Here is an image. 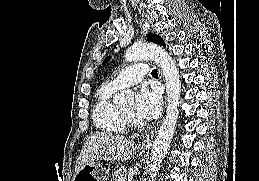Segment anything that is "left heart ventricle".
Returning <instances> with one entry per match:
<instances>
[{
  "instance_id": "left-heart-ventricle-1",
  "label": "left heart ventricle",
  "mask_w": 259,
  "mask_h": 181,
  "mask_svg": "<svg viewBox=\"0 0 259 181\" xmlns=\"http://www.w3.org/2000/svg\"><path fill=\"white\" fill-rule=\"evenodd\" d=\"M125 113L130 114L135 117V105L134 103L128 104L125 108L122 109Z\"/></svg>"
}]
</instances>
